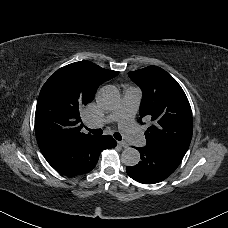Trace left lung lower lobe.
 Here are the masks:
<instances>
[{"label":"left lung lower lobe","mask_w":228,"mask_h":228,"mask_svg":"<svg viewBox=\"0 0 228 228\" xmlns=\"http://www.w3.org/2000/svg\"><path fill=\"white\" fill-rule=\"evenodd\" d=\"M141 154V161L132 167H127V174L134 180L144 184H154L166 179L181 163L185 154L174 149L146 144L137 148Z\"/></svg>","instance_id":"0a47b994"}]
</instances>
